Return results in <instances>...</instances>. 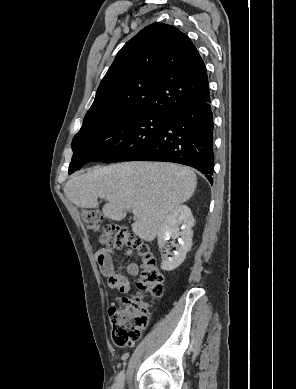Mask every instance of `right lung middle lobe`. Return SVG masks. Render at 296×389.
Returning a JSON list of instances; mask_svg holds the SVG:
<instances>
[{"label": "right lung middle lobe", "mask_w": 296, "mask_h": 389, "mask_svg": "<svg viewBox=\"0 0 296 389\" xmlns=\"http://www.w3.org/2000/svg\"><path fill=\"white\" fill-rule=\"evenodd\" d=\"M166 115L116 109L84 119L72 141L69 173L90 161H134L167 123Z\"/></svg>", "instance_id": "1"}]
</instances>
